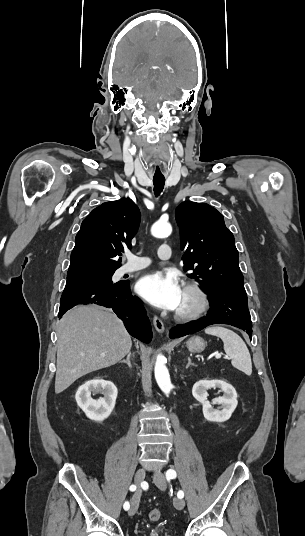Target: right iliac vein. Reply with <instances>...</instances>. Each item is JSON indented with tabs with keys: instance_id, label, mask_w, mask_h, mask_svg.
<instances>
[{
	"instance_id": "obj_1",
	"label": "right iliac vein",
	"mask_w": 305,
	"mask_h": 536,
	"mask_svg": "<svg viewBox=\"0 0 305 536\" xmlns=\"http://www.w3.org/2000/svg\"><path fill=\"white\" fill-rule=\"evenodd\" d=\"M144 478H145L144 470H141V469L138 470L135 474V483L139 486L144 481ZM140 497H141L140 489H137V491L134 493L131 499V507L129 510L130 516H133L137 512L139 502H140Z\"/></svg>"
}]
</instances>
